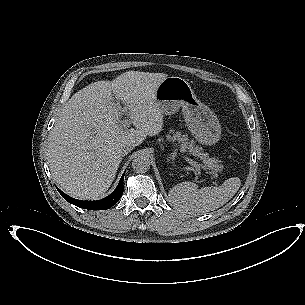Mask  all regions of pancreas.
<instances>
[{
    "label": "pancreas",
    "mask_w": 305,
    "mask_h": 305,
    "mask_svg": "<svg viewBox=\"0 0 305 305\" xmlns=\"http://www.w3.org/2000/svg\"><path fill=\"white\" fill-rule=\"evenodd\" d=\"M173 139L179 141L180 150L182 152L187 151L189 154H192L193 156L203 160L207 168L213 173L222 170L223 166L218 163V160L215 158H210L209 155L204 153L201 147L195 145V142L190 140L188 136L182 135L181 132H175L173 134Z\"/></svg>",
    "instance_id": "1"
}]
</instances>
